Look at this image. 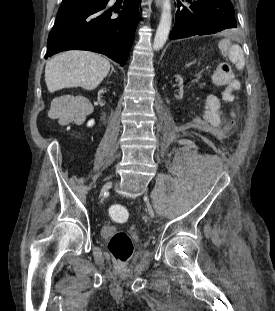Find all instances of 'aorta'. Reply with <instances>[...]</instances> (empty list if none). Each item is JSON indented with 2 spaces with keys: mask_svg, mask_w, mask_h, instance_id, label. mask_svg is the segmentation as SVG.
Here are the masks:
<instances>
[{
  "mask_svg": "<svg viewBox=\"0 0 275 311\" xmlns=\"http://www.w3.org/2000/svg\"><path fill=\"white\" fill-rule=\"evenodd\" d=\"M172 24L170 0H163L160 22L155 34L153 48L160 50L167 41Z\"/></svg>",
  "mask_w": 275,
  "mask_h": 311,
  "instance_id": "1",
  "label": "aorta"
}]
</instances>
